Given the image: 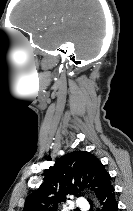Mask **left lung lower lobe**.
<instances>
[{"label": "left lung lower lobe", "instance_id": "obj_1", "mask_svg": "<svg viewBox=\"0 0 133 211\" xmlns=\"http://www.w3.org/2000/svg\"><path fill=\"white\" fill-rule=\"evenodd\" d=\"M100 204L102 205V211H117L118 203L115 198V190L111 186L100 197ZM99 211V210H97Z\"/></svg>", "mask_w": 133, "mask_h": 211}]
</instances>
